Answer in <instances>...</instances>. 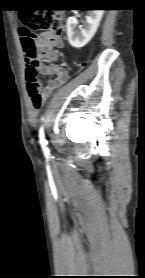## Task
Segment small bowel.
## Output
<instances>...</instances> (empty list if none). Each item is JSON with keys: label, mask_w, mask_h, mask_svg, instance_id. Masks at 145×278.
<instances>
[{"label": "small bowel", "mask_w": 145, "mask_h": 278, "mask_svg": "<svg viewBox=\"0 0 145 278\" xmlns=\"http://www.w3.org/2000/svg\"><path fill=\"white\" fill-rule=\"evenodd\" d=\"M35 39L40 45H51L55 48H62L64 45L63 39L57 34L42 33L37 35ZM28 65L29 62L27 61L26 68ZM36 71L44 76H53V79L43 87L44 94H51L68 80L67 69L58 64L41 61L36 66Z\"/></svg>", "instance_id": "small-bowel-1"}]
</instances>
